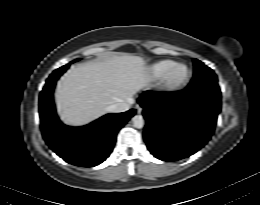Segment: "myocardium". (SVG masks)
<instances>
[{"label": "myocardium", "instance_id": "1", "mask_svg": "<svg viewBox=\"0 0 260 205\" xmlns=\"http://www.w3.org/2000/svg\"><path fill=\"white\" fill-rule=\"evenodd\" d=\"M184 67L186 69V76L179 81L173 80V73L176 69ZM192 71L190 67L184 63L174 64L161 78L159 88L164 94H173L182 90L190 82Z\"/></svg>", "mask_w": 260, "mask_h": 205}]
</instances>
